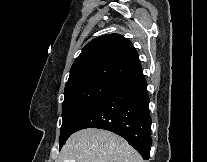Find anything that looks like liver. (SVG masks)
I'll list each match as a JSON object with an SVG mask.
<instances>
[{
  "mask_svg": "<svg viewBox=\"0 0 207 162\" xmlns=\"http://www.w3.org/2000/svg\"><path fill=\"white\" fill-rule=\"evenodd\" d=\"M145 162L129 143L107 130L87 128L72 134L56 162Z\"/></svg>",
  "mask_w": 207,
  "mask_h": 162,
  "instance_id": "liver-1",
  "label": "liver"
}]
</instances>
